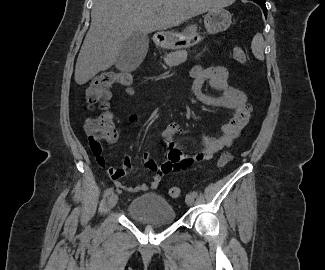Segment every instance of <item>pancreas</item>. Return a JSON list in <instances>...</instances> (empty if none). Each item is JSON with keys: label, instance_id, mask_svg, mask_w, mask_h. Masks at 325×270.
Masks as SVG:
<instances>
[{"label": "pancreas", "instance_id": "1", "mask_svg": "<svg viewBox=\"0 0 325 270\" xmlns=\"http://www.w3.org/2000/svg\"><path fill=\"white\" fill-rule=\"evenodd\" d=\"M186 59H187V52L185 50H181V51H176V52L167 54L164 57V62L168 66H177V65L185 62Z\"/></svg>", "mask_w": 325, "mask_h": 270}]
</instances>
